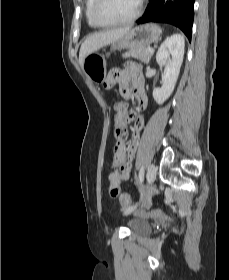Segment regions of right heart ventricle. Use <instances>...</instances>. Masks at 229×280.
<instances>
[{
	"mask_svg": "<svg viewBox=\"0 0 229 280\" xmlns=\"http://www.w3.org/2000/svg\"><path fill=\"white\" fill-rule=\"evenodd\" d=\"M95 4V0H86L85 1V17L88 25L91 28H99L92 19V10Z\"/></svg>",
	"mask_w": 229,
	"mask_h": 280,
	"instance_id": "e07e8e85",
	"label": "right heart ventricle"
}]
</instances>
